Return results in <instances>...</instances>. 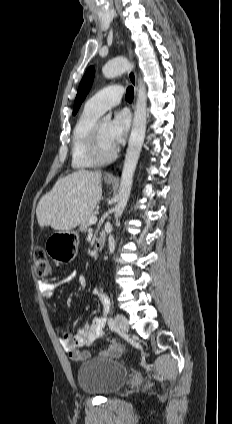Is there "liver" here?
<instances>
[{"mask_svg":"<svg viewBox=\"0 0 232 424\" xmlns=\"http://www.w3.org/2000/svg\"><path fill=\"white\" fill-rule=\"evenodd\" d=\"M101 171L78 170L58 179L36 209L40 227L67 232L88 217L102 196Z\"/></svg>","mask_w":232,"mask_h":424,"instance_id":"liver-1","label":"liver"}]
</instances>
